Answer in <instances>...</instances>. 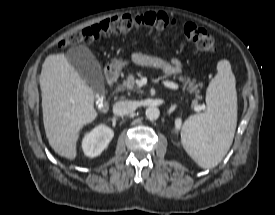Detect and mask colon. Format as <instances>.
Returning a JSON list of instances; mask_svg holds the SVG:
<instances>
[{"instance_id":"colon-1","label":"colon","mask_w":275,"mask_h":215,"mask_svg":"<svg viewBox=\"0 0 275 215\" xmlns=\"http://www.w3.org/2000/svg\"><path fill=\"white\" fill-rule=\"evenodd\" d=\"M137 28H149L158 32L179 29L184 37L199 50L213 52L216 49L215 39L208 31L194 23H178L162 12H147L137 15L122 14L108 18L99 24L86 27L62 39L59 47L66 48L80 43H92L103 37L127 33Z\"/></svg>"}]
</instances>
